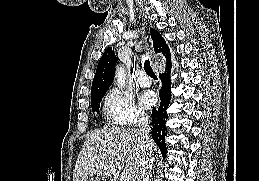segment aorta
I'll list each match as a JSON object with an SVG mask.
<instances>
[{"mask_svg": "<svg viewBox=\"0 0 259 181\" xmlns=\"http://www.w3.org/2000/svg\"><path fill=\"white\" fill-rule=\"evenodd\" d=\"M115 78H116L117 85L119 87H123L125 84V70L122 66H119L116 69Z\"/></svg>", "mask_w": 259, "mask_h": 181, "instance_id": "1", "label": "aorta"}]
</instances>
